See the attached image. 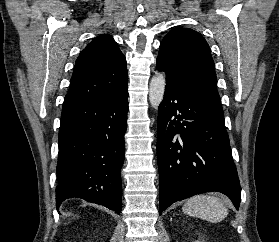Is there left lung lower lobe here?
<instances>
[{
  "label": "left lung lower lobe",
  "mask_w": 279,
  "mask_h": 242,
  "mask_svg": "<svg viewBox=\"0 0 279 242\" xmlns=\"http://www.w3.org/2000/svg\"><path fill=\"white\" fill-rule=\"evenodd\" d=\"M157 69L166 73L157 119L159 214L176 201L211 191L227 195L238 208L241 187L224 115L172 78L163 65L157 63Z\"/></svg>",
  "instance_id": "0a47b994"
}]
</instances>
